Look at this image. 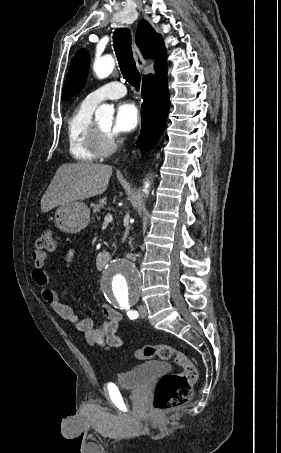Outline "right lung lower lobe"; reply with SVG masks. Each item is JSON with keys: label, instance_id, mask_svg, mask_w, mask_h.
<instances>
[{"label": "right lung lower lobe", "instance_id": "98d812e1", "mask_svg": "<svg viewBox=\"0 0 281 453\" xmlns=\"http://www.w3.org/2000/svg\"><path fill=\"white\" fill-rule=\"evenodd\" d=\"M156 75H146L142 81L140 149L149 150L161 137L170 107L166 84L165 59L155 66Z\"/></svg>", "mask_w": 281, "mask_h": 453}]
</instances>
